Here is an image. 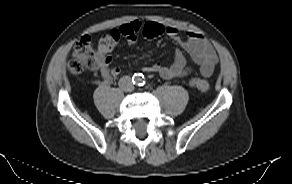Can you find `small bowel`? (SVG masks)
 I'll return each mask as SVG.
<instances>
[{"instance_id":"1","label":"small bowel","mask_w":292,"mask_h":184,"mask_svg":"<svg viewBox=\"0 0 292 184\" xmlns=\"http://www.w3.org/2000/svg\"><path fill=\"white\" fill-rule=\"evenodd\" d=\"M162 25V24H161ZM144 24L139 20H133L121 25L118 29L130 45L137 41V36L142 32ZM163 34L178 41L183 49L190 55L195 64L199 66V70L203 76H211L218 62L217 54L211 43L201 34L184 31L186 39H181V31L175 26H164ZM112 57L105 51H97L95 54L94 69L98 70L101 78L105 83H111L120 74L118 67L111 66ZM143 71L147 73H157L164 79H173L185 77L191 72V68L187 66L186 59L181 52H176L173 63L170 66H162L159 63L147 65L143 67Z\"/></svg>"}]
</instances>
